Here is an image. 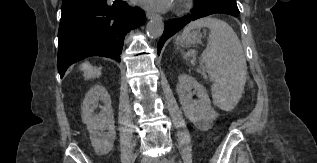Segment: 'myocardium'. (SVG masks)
Returning a JSON list of instances; mask_svg holds the SVG:
<instances>
[{
    "instance_id": "myocardium-1",
    "label": "myocardium",
    "mask_w": 317,
    "mask_h": 163,
    "mask_svg": "<svg viewBox=\"0 0 317 163\" xmlns=\"http://www.w3.org/2000/svg\"><path fill=\"white\" fill-rule=\"evenodd\" d=\"M192 8V0H178L177 11L186 12Z\"/></svg>"
}]
</instances>
